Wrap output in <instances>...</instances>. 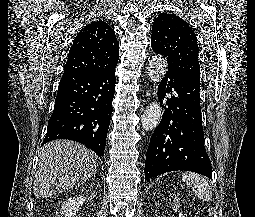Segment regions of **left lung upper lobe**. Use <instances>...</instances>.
Returning a JSON list of instances; mask_svg holds the SVG:
<instances>
[{
  "instance_id": "1",
  "label": "left lung upper lobe",
  "mask_w": 255,
  "mask_h": 217,
  "mask_svg": "<svg viewBox=\"0 0 255 217\" xmlns=\"http://www.w3.org/2000/svg\"><path fill=\"white\" fill-rule=\"evenodd\" d=\"M151 46L155 53L167 58L168 69L200 84L199 48L196 35L186 21L174 14H160L152 26Z\"/></svg>"
}]
</instances>
